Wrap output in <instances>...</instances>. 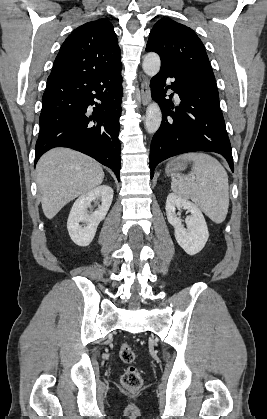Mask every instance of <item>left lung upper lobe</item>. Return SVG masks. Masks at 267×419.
Masks as SVG:
<instances>
[{
	"label": "left lung upper lobe",
	"instance_id": "5c2ea615",
	"mask_svg": "<svg viewBox=\"0 0 267 419\" xmlns=\"http://www.w3.org/2000/svg\"><path fill=\"white\" fill-rule=\"evenodd\" d=\"M146 51L156 52L161 67L201 74L215 80L205 47L196 33L174 20L163 18L152 28Z\"/></svg>",
	"mask_w": 267,
	"mask_h": 419
}]
</instances>
